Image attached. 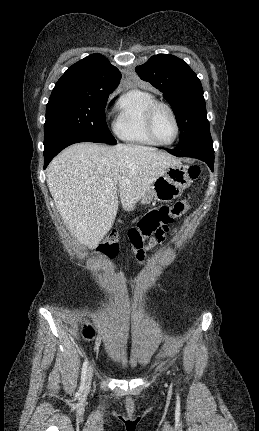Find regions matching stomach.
I'll use <instances>...</instances> for the list:
<instances>
[{
    "label": "stomach",
    "instance_id": "1",
    "mask_svg": "<svg viewBox=\"0 0 259 431\" xmlns=\"http://www.w3.org/2000/svg\"><path fill=\"white\" fill-rule=\"evenodd\" d=\"M191 184L188 171L181 163L171 165L164 170V173L150 186L149 190L141 198V204H149L153 200L160 202H170L181 196L183 191ZM136 204H132L129 209H134Z\"/></svg>",
    "mask_w": 259,
    "mask_h": 431
}]
</instances>
